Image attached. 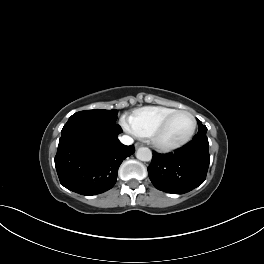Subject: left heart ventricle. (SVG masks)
<instances>
[{
	"label": "left heart ventricle",
	"mask_w": 264,
	"mask_h": 264,
	"mask_svg": "<svg viewBox=\"0 0 264 264\" xmlns=\"http://www.w3.org/2000/svg\"><path fill=\"white\" fill-rule=\"evenodd\" d=\"M192 120L188 114H177L172 118L168 127L161 135V141L172 143L185 138L191 131Z\"/></svg>",
	"instance_id": "left-heart-ventricle-1"
}]
</instances>
